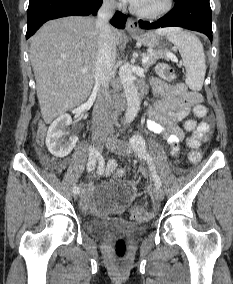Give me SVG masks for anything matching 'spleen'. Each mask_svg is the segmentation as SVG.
<instances>
[{"mask_svg":"<svg viewBox=\"0 0 233 284\" xmlns=\"http://www.w3.org/2000/svg\"><path fill=\"white\" fill-rule=\"evenodd\" d=\"M157 33L165 34L168 41L178 48L186 69L187 86L193 91H200L206 73L205 54L200 40L177 27L160 29Z\"/></svg>","mask_w":233,"mask_h":284,"instance_id":"obj_1","label":"spleen"}]
</instances>
